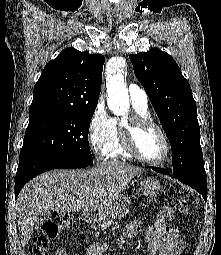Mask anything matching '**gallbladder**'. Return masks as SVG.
I'll use <instances>...</instances> for the list:
<instances>
[{"mask_svg": "<svg viewBox=\"0 0 221 255\" xmlns=\"http://www.w3.org/2000/svg\"><path fill=\"white\" fill-rule=\"evenodd\" d=\"M50 215H51L50 211H47L39 215L35 221V225H34L35 229H38L43 223H45L48 220Z\"/></svg>", "mask_w": 221, "mask_h": 255, "instance_id": "gallbladder-1", "label": "gallbladder"}]
</instances>
